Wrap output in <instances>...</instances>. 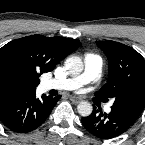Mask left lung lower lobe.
Instances as JSON below:
<instances>
[{
	"instance_id": "obj_1",
	"label": "left lung lower lobe",
	"mask_w": 145,
	"mask_h": 145,
	"mask_svg": "<svg viewBox=\"0 0 145 145\" xmlns=\"http://www.w3.org/2000/svg\"><path fill=\"white\" fill-rule=\"evenodd\" d=\"M82 124L90 133L102 139L119 136L132 126L131 123L112 110L106 114L95 106L90 116L82 118Z\"/></svg>"
}]
</instances>
